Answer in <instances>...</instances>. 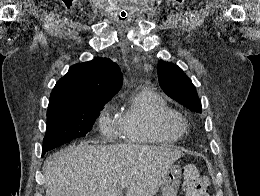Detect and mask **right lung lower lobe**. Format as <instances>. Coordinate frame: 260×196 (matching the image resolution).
I'll use <instances>...</instances> for the list:
<instances>
[{
  "instance_id": "obj_1",
  "label": "right lung lower lobe",
  "mask_w": 260,
  "mask_h": 196,
  "mask_svg": "<svg viewBox=\"0 0 260 196\" xmlns=\"http://www.w3.org/2000/svg\"><path fill=\"white\" fill-rule=\"evenodd\" d=\"M47 151H49V150H42V155H44L45 152H47Z\"/></svg>"
}]
</instances>
